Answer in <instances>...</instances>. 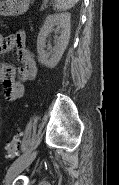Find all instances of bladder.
I'll return each mask as SVG.
<instances>
[{
	"label": "bladder",
	"mask_w": 119,
	"mask_h": 185,
	"mask_svg": "<svg viewBox=\"0 0 119 185\" xmlns=\"http://www.w3.org/2000/svg\"><path fill=\"white\" fill-rule=\"evenodd\" d=\"M39 185H50V184H48L46 182H41Z\"/></svg>",
	"instance_id": "obj_1"
}]
</instances>
